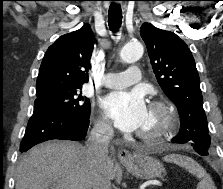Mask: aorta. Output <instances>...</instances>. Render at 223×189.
I'll use <instances>...</instances> for the list:
<instances>
[{
	"label": "aorta",
	"instance_id": "1",
	"mask_svg": "<svg viewBox=\"0 0 223 189\" xmlns=\"http://www.w3.org/2000/svg\"><path fill=\"white\" fill-rule=\"evenodd\" d=\"M143 52L144 49L140 42H131L122 48L120 58L125 63H133L142 57Z\"/></svg>",
	"mask_w": 223,
	"mask_h": 189
}]
</instances>
